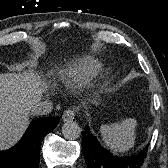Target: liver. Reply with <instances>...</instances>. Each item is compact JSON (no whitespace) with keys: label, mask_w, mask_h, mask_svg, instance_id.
I'll return each instance as SVG.
<instances>
[{"label":"liver","mask_w":168,"mask_h":168,"mask_svg":"<svg viewBox=\"0 0 168 168\" xmlns=\"http://www.w3.org/2000/svg\"><path fill=\"white\" fill-rule=\"evenodd\" d=\"M48 86L31 69L0 74V150H6L22 137L29 114Z\"/></svg>","instance_id":"1"}]
</instances>
